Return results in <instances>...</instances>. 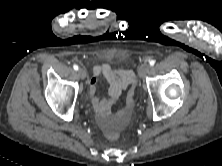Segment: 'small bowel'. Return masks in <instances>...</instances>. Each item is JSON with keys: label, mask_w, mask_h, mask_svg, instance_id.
<instances>
[{"label": "small bowel", "mask_w": 222, "mask_h": 166, "mask_svg": "<svg viewBox=\"0 0 222 166\" xmlns=\"http://www.w3.org/2000/svg\"><path fill=\"white\" fill-rule=\"evenodd\" d=\"M93 75L94 77L89 83L91 102L102 128L107 133L114 129L108 120L112 107L118 101L123 91L134 83L135 74L129 68L114 69L109 64H101L93 67ZM99 77H104L108 82V97H100L97 94Z\"/></svg>", "instance_id": "1"}]
</instances>
